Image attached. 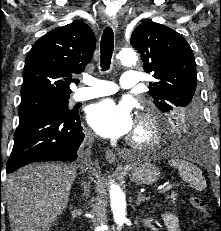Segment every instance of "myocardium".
Wrapping results in <instances>:
<instances>
[{
    "mask_svg": "<svg viewBox=\"0 0 221 231\" xmlns=\"http://www.w3.org/2000/svg\"><path fill=\"white\" fill-rule=\"evenodd\" d=\"M139 133H132L127 143L135 149H151L162 141V124L159 117L152 111L142 112L137 119Z\"/></svg>",
    "mask_w": 221,
    "mask_h": 231,
    "instance_id": "obj_1",
    "label": "myocardium"
}]
</instances>
